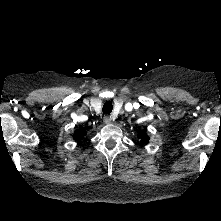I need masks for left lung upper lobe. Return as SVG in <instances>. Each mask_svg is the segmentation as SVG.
Returning <instances> with one entry per match:
<instances>
[{
	"label": "left lung upper lobe",
	"mask_w": 221,
	"mask_h": 221,
	"mask_svg": "<svg viewBox=\"0 0 221 221\" xmlns=\"http://www.w3.org/2000/svg\"><path fill=\"white\" fill-rule=\"evenodd\" d=\"M138 138H140V142H141L140 145L148 143L149 137L145 132H140L138 134Z\"/></svg>",
	"instance_id": "5c2ea615"
}]
</instances>
